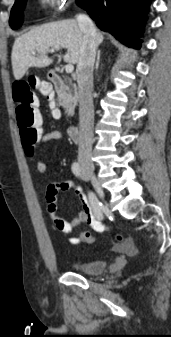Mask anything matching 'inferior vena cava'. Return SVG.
Masks as SVG:
<instances>
[{"instance_id": "602c4592", "label": "inferior vena cava", "mask_w": 171, "mask_h": 337, "mask_svg": "<svg viewBox=\"0 0 171 337\" xmlns=\"http://www.w3.org/2000/svg\"><path fill=\"white\" fill-rule=\"evenodd\" d=\"M79 28L83 33L80 58L76 68L79 91V147L78 161L91 164V150L93 144V67L96 56V29L85 14L77 15Z\"/></svg>"}]
</instances>
